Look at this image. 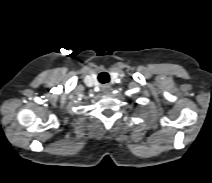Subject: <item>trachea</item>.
I'll list each match as a JSON object with an SVG mask.
<instances>
[{"mask_svg":"<svg viewBox=\"0 0 212 183\" xmlns=\"http://www.w3.org/2000/svg\"><path fill=\"white\" fill-rule=\"evenodd\" d=\"M98 80L101 83H107L109 81V75L106 72H102L99 74Z\"/></svg>","mask_w":212,"mask_h":183,"instance_id":"1","label":"trachea"}]
</instances>
